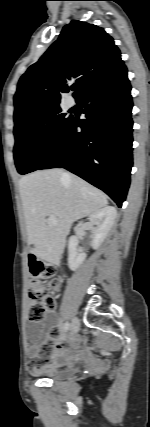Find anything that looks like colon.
I'll list each match as a JSON object with an SVG mask.
<instances>
[{"mask_svg":"<svg viewBox=\"0 0 150 427\" xmlns=\"http://www.w3.org/2000/svg\"><path fill=\"white\" fill-rule=\"evenodd\" d=\"M28 260L31 274L28 317L32 322H41L47 312H54L58 307L52 291L58 287L59 281L54 266L43 263L33 253L29 254Z\"/></svg>","mask_w":150,"mask_h":427,"instance_id":"5ec220e1","label":"colon"}]
</instances>
